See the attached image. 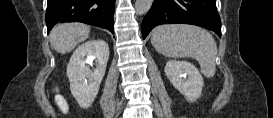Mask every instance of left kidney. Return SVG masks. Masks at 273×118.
<instances>
[{"mask_svg":"<svg viewBox=\"0 0 273 118\" xmlns=\"http://www.w3.org/2000/svg\"><path fill=\"white\" fill-rule=\"evenodd\" d=\"M164 72L172 85L187 99L194 102L200 98L204 86L203 77L198 69L186 61L170 60Z\"/></svg>","mask_w":273,"mask_h":118,"instance_id":"obj_1","label":"left kidney"}]
</instances>
